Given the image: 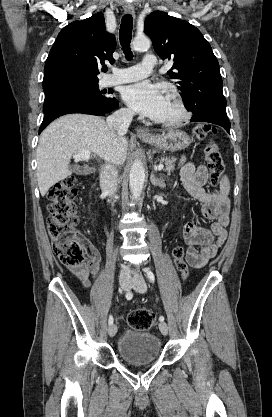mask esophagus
Masks as SVG:
<instances>
[{
  "label": "esophagus",
  "instance_id": "34e87169",
  "mask_svg": "<svg viewBox=\"0 0 272 417\" xmlns=\"http://www.w3.org/2000/svg\"><path fill=\"white\" fill-rule=\"evenodd\" d=\"M124 11H125L126 14H131V15L135 14L134 7H133L132 4H126L124 6ZM136 133L139 136H150V134L142 128H137Z\"/></svg>",
  "mask_w": 272,
  "mask_h": 417
}]
</instances>
